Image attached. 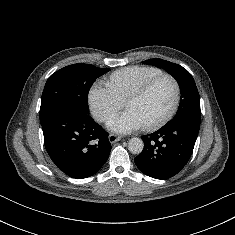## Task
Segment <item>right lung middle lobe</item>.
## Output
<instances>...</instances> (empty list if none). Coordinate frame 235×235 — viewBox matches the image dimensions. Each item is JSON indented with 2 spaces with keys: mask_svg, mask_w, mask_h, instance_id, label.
Instances as JSON below:
<instances>
[{
  "mask_svg": "<svg viewBox=\"0 0 235 235\" xmlns=\"http://www.w3.org/2000/svg\"><path fill=\"white\" fill-rule=\"evenodd\" d=\"M109 70L90 64H73L53 73L42 93L40 120L61 108H71L88 114L89 89L99 76Z\"/></svg>",
  "mask_w": 235,
  "mask_h": 235,
  "instance_id": "1",
  "label": "right lung middle lobe"
}]
</instances>
